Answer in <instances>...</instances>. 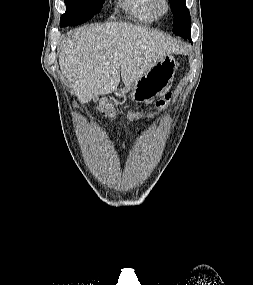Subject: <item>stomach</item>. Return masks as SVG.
<instances>
[{
    "mask_svg": "<svg viewBox=\"0 0 253 285\" xmlns=\"http://www.w3.org/2000/svg\"><path fill=\"white\" fill-rule=\"evenodd\" d=\"M178 63L172 55L159 59L146 74L133 85L115 91L117 97H125L130 92L135 102L143 103L159 96L172 82Z\"/></svg>",
    "mask_w": 253,
    "mask_h": 285,
    "instance_id": "obj_1",
    "label": "stomach"
}]
</instances>
